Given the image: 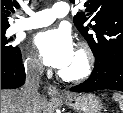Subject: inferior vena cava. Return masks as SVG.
I'll use <instances>...</instances> for the list:
<instances>
[{"label":"inferior vena cava","instance_id":"obj_1","mask_svg":"<svg viewBox=\"0 0 123 113\" xmlns=\"http://www.w3.org/2000/svg\"><path fill=\"white\" fill-rule=\"evenodd\" d=\"M42 72L43 65L38 62H31L26 66V80L22 89L25 113H34L31 109L39 96L38 88Z\"/></svg>","mask_w":123,"mask_h":113}]
</instances>
